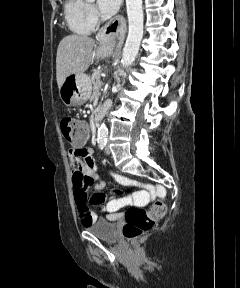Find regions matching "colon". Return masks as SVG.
I'll return each instance as SVG.
<instances>
[{"instance_id":"1","label":"colon","mask_w":240,"mask_h":288,"mask_svg":"<svg viewBox=\"0 0 240 288\" xmlns=\"http://www.w3.org/2000/svg\"><path fill=\"white\" fill-rule=\"evenodd\" d=\"M63 137L76 143L86 139V125L72 117H65L60 122ZM166 212V204L163 200H157L149 209L131 207L125 213L123 235L126 239L134 241L143 233L150 230Z\"/></svg>"}]
</instances>
